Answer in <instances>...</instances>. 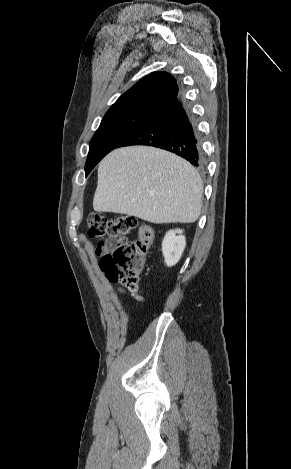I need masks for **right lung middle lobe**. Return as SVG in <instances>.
Listing matches in <instances>:
<instances>
[{"label": "right lung middle lobe", "mask_w": 291, "mask_h": 469, "mask_svg": "<svg viewBox=\"0 0 291 469\" xmlns=\"http://www.w3.org/2000/svg\"><path fill=\"white\" fill-rule=\"evenodd\" d=\"M152 115L141 111H125L105 115L90 142L88 159L85 165L86 175L107 153Z\"/></svg>", "instance_id": "dd1d6c3e"}]
</instances>
